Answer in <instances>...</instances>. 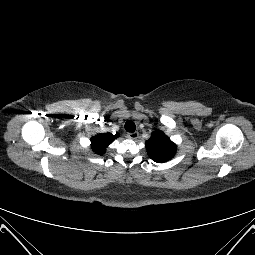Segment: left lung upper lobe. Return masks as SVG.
I'll list each match as a JSON object with an SVG mask.
<instances>
[{
    "mask_svg": "<svg viewBox=\"0 0 255 255\" xmlns=\"http://www.w3.org/2000/svg\"><path fill=\"white\" fill-rule=\"evenodd\" d=\"M145 146L150 158L157 163H164L172 159L176 153V144L160 130L152 133Z\"/></svg>",
    "mask_w": 255,
    "mask_h": 255,
    "instance_id": "1",
    "label": "left lung upper lobe"
}]
</instances>
